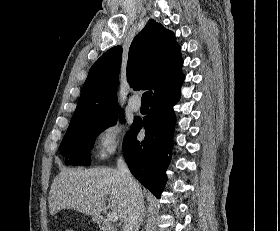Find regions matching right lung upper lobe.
<instances>
[{
    "label": "right lung upper lobe",
    "mask_w": 280,
    "mask_h": 231,
    "mask_svg": "<svg viewBox=\"0 0 280 231\" xmlns=\"http://www.w3.org/2000/svg\"><path fill=\"white\" fill-rule=\"evenodd\" d=\"M180 50L174 33L150 19L129 49L127 79L133 90L152 89L155 99L181 86L184 75ZM121 58L122 47L116 46L93 64L70 123L118 113L116 89Z\"/></svg>",
    "instance_id": "right-lung-upper-lobe-1"
}]
</instances>
